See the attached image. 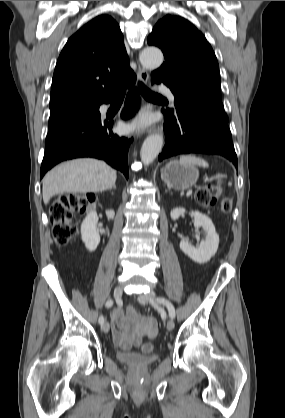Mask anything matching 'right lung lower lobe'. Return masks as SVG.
Segmentation results:
<instances>
[{"instance_id": "right-lung-lower-lobe-1", "label": "right lung lower lobe", "mask_w": 285, "mask_h": 418, "mask_svg": "<svg viewBox=\"0 0 285 418\" xmlns=\"http://www.w3.org/2000/svg\"><path fill=\"white\" fill-rule=\"evenodd\" d=\"M134 84L129 86L126 107L121 116L131 117L139 96ZM109 103V102H108ZM113 120H103L100 116L81 119L59 126L47 134L45 153L40 170V178L61 161L79 157H93L106 161L113 168L123 172L128 179V149L130 139L112 133Z\"/></svg>"}]
</instances>
